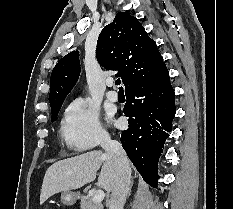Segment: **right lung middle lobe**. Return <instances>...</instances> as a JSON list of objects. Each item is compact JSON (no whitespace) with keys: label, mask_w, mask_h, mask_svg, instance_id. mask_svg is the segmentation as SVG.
<instances>
[{"label":"right lung middle lobe","mask_w":233,"mask_h":209,"mask_svg":"<svg viewBox=\"0 0 233 209\" xmlns=\"http://www.w3.org/2000/svg\"><path fill=\"white\" fill-rule=\"evenodd\" d=\"M60 107H58L57 109H55L54 111H52V117H51V121L54 122L57 118V115L59 113Z\"/></svg>","instance_id":"1"}]
</instances>
